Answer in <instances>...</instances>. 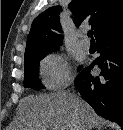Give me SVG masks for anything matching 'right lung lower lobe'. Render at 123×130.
Wrapping results in <instances>:
<instances>
[{
	"label": "right lung lower lobe",
	"instance_id": "obj_1",
	"mask_svg": "<svg viewBox=\"0 0 123 130\" xmlns=\"http://www.w3.org/2000/svg\"><path fill=\"white\" fill-rule=\"evenodd\" d=\"M101 55L83 69L74 83L82 98L95 111L123 129V24L96 38ZM97 65L99 76L90 70Z\"/></svg>",
	"mask_w": 123,
	"mask_h": 130
}]
</instances>
